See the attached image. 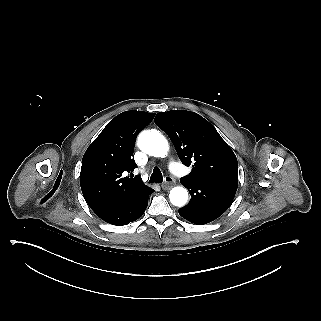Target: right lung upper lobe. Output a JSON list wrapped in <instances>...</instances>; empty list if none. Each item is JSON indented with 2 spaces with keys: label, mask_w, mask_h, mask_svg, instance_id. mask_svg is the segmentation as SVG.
Instances as JSON below:
<instances>
[{
  "label": "right lung upper lobe",
  "mask_w": 321,
  "mask_h": 321,
  "mask_svg": "<svg viewBox=\"0 0 321 321\" xmlns=\"http://www.w3.org/2000/svg\"><path fill=\"white\" fill-rule=\"evenodd\" d=\"M154 116L155 113L125 111L109 122L86 150L80 185L94 212L124 202L147 187L139 175H125L136 168L131 158L136 136Z\"/></svg>",
  "instance_id": "cb5924a9"
}]
</instances>
